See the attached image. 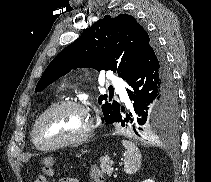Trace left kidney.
<instances>
[{
    "label": "left kidney",
    "mask_w": 211,
    "mask_h": 182,
    "mask_svg": "<svg viewBox=\"0 0 211 182\" xmlns=\"http://www.w3.org/2000/svg\"><path fill=\"white\" fill-rule=\"evenodd\" d=\"M142 182H154V181L152 179H146V180H144Z\"/></svg>",
    "instance_id": "1"
}]
</instances>
